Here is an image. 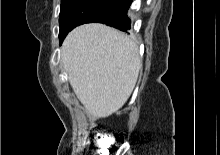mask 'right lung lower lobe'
<instances>
[{"label":"right lung lower lobe","mask_w":220,"mask_h":155,"mask_svg":"<svg viewBox=\"0 0 220 155\" xmlns=\"http://www.w3.org/2000/svg\"><path fill=\"white\" fill-rule=\"evenodd\" d=\"M132 0H124L114 8H111L90 19L87 23H103L122 31L130 29V19L127 16Z\"/></svg>","instance_id":"98d812e1"}]
</instances>
